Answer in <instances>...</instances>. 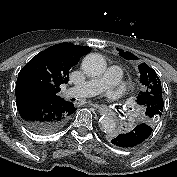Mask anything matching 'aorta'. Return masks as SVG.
I'll return each mask as SVG.
<instances>
[{"label": "aorta", "instance_id": "aorta-1", "mask_svg": "<svg viewBox=\"0 0 177 177\" xmlns=\"http://www.w3.org/2000/svg\"><path fill=\"white\" fill-rule=\"evenodd\" d=\"M82 70L91 77L102 75L106 70V61L98 53L88 54L82 61ZM101 129L105 133H111L116 128V121L112 116L104 115L100 119Z\"/></svg>", "mask_w": 177, "mask_h": 177}]
</instances>
